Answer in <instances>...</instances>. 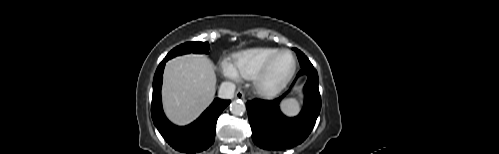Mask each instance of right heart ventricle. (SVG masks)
<instances>
[{
    "label": "right heart ventricle",
    "instance_id": "e07e8e85",
    "mask_svg": "<svg viewBox=\"0 0 499 154\" xmlns=\"http://www.w3.org/2000/svg\"><path fill=\"white\" fill-rule=\"evenodd\" d=\"M278 49L270 47H255L235 53L230 63L236 74L245 79H253L262 69L267 60Z\"/></svg>",
    "mask_w": 499,
    "mask_h": 154
}]
</instances>
